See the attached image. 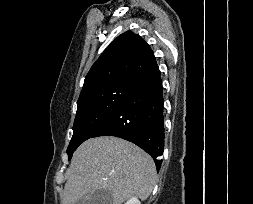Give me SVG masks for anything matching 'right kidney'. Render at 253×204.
<instances>
[{
	"label": "right kidney",
	"mask_w": 253,
	"mask_h": 204,
	"mask_svg": "<svg viewBox=\"0 0 253 204\" xmlns=\"http://www.w3.org/2000/svg\"><path fill=\"white\" fill-rule=\"evenodd\" d=\"M125 204H141V203L136 197H133L129 199Z\"/></svg>",
	"instance_id": "obj_1"
}]
</instances>
